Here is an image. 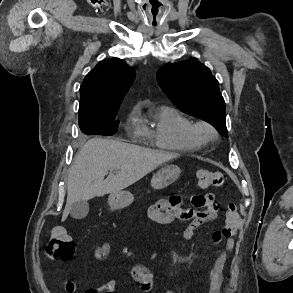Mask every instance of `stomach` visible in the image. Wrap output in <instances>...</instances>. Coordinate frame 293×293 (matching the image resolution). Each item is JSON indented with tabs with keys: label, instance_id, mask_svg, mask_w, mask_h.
Returning a JSON list of instances; mask_svg holds the SVG:
<instances>
[{
	"label": "stomach",
	"instance_id": "1",
	"mask_svg": "<svg viewBox=\"0 0 293 293\" xmlns=\"http://www.w3.org/2000/svg\"><path fill=\"white\" fill-rule=\"evenodd\" d=\"M180 168L176 165H166L153 175L151 186L155 190L166 188L180 175ZM133 195L128 191H120L109 195L108 203L114 210L122 209L133 202Z\"/></svg>",
	"mask_w": 293,
	"mask_h": 293
}]
</instances>
